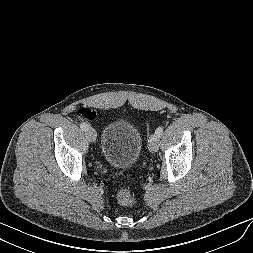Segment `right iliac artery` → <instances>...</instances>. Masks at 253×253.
<instances>
[{
    "label": "right iliac artery",
    "instance_id": "1",
    "mask_svg": "<svg viewBox=\"0 0 253 253\" xmlns=\"http://www.w3.org/2000/svg\"><path fill=\"white\" fill-rule=\"evenodd\" d=\"M80 128L83 131H86V130H88L89 126H88V124H86L85 122H83V123L80 124Z\"/></svg>",
    "mask_w": 253,
    "mask_h": 253
}]
</instances>
